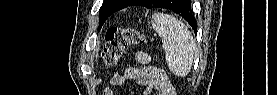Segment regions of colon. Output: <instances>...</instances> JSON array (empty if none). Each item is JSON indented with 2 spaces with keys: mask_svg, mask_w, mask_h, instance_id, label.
<instances>
[{
  "mask_svg": "<svg viewBox=\"0 0 277 95\" xmlns=\"http://www.w3.org/2000/svg\"><path fill=\"white\" fill-rule=\"evenodd\" d=\"M104 39L102 59L106 68L115 67L123 57L126 49L145 42L144 36L134 28H109L105 33ZM156 74L161 76L162 81H167L163 71L157 70Z\"/></svg>",
  "mask_w": 277,
  "mask_h": 95,
  "instance_id": "1",
  "label": "colon"
}]
</instances>
